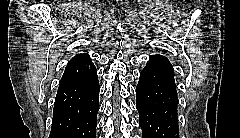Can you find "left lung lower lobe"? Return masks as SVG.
Returning a JSON list of instances; mask_svg holds the SVG:
<instances>
[{"instance_id": "1", "label": "left lung lower lobe", "mask_w": 240, "mask_h": 138, "mask_svg": "<svg viewBox=\"0 0 240 138\" xmlns=\"http://www.w3.org/2000/svg\"><path fill=\"white\" fill-rule=\"evenodd\" d=\"M174 70L162 55H151L140 73L136 107L143 138H179Z\"/></svg>"}]
</instances>
